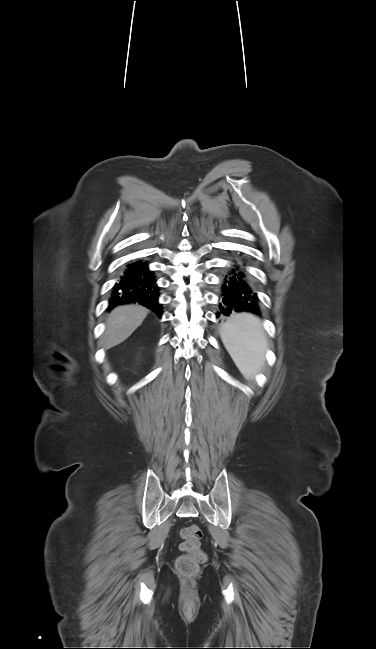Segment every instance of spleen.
I'll return each instance as SVG.
<instances>
[{
    "label": "spleen",
    "mask_w": 376,
    "mask_h": 649,
    "mask_svg": "<svg viewBox=\"0 0 376 649\" xmlns=\"http://www.w3.org/2000/svg\"><path fill=\"white\" fill-rule=\"evenodd\" d=\"M223 343L245 378L260 370L267 347L265 331L260 320L249 313L232 314L221 326Z\"/></svg>",
    "instance_id": "spleen-1"
}]
</instances>
